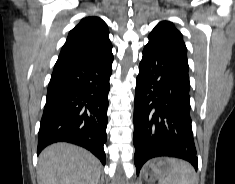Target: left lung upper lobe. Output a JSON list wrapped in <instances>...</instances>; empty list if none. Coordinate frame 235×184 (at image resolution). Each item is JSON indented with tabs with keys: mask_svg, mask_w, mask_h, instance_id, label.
<instances>
[{
	"mask_svg": "<svg viewBox=\"0 0 235 184\" xmlns=\"http://www.w3.org/2000/svg\"><path fill=\"white\" fill-rule=\"evenodd\" d=\"M149 41L162 42L175 48L187 60V48L182 34L174 27L172 22H159L149 35Z\"/></svg>",
	"mask_w": 235,
	"mask_h": 184,
	"instance_id": "1",
	"label": "left lung upper lobe"
}]
</instances>
